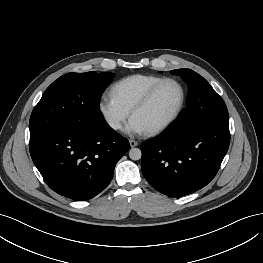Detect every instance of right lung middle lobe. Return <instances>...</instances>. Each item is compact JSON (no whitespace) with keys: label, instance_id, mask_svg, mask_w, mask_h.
Segmentation results:
<instances>
[{"label":"right lung middle lobe","instance_id":"obj_1","mask_svg":"<svg viewBox=\"0 0 263 263\" xmlns=\"http://www.w3.org/2000/svg\"><path fill=\"white\" fill-rule=\"evenodd\" d=\"M111 73H68L55 80L35 106L29 121L30 140L59 127L103 120L99 99Z\"/></svg>","mask_w":263,"mask_h":263}]
</instances>
